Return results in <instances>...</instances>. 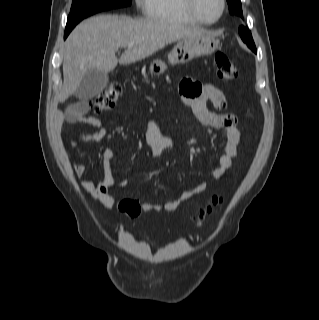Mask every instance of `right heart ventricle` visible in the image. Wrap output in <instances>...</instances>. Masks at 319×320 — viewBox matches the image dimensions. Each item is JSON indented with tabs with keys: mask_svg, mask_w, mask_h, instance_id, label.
<instances>
[{
	"mask_svg": "<svg viewBox=\"0 0 319 320\" xmlns=\"http://www.w3.org/2000/svg\"><path fill=\"white\" fill-rule=\"evenodd\" d=\"M146 14L149 18L166 23L197 25L187 12L184 0H147Z\"/></svg>",
	"mask_w": 319,
	"mask_h": 320,
	"instance_id": "1",
	"label": "right heart ventricle"
}]
</instances>
